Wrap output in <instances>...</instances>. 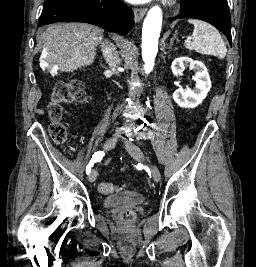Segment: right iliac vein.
<instances>
[{"label":"right iliac vein","mask_w":256,"mask_h":267,"mask_svg":"<svg viewBox=\"0 0 256 267\" xmlns=\"http://www.w3.org/2000/svg\"><path fill=\"white\" fill-rule=\"evenodd\" d=\"M116 142H117V135L114 134V135H112L111 137H109V138L106 140V142H105V144H104V147H103L104 150L107 151V150L112 149V148L115 146ZM96 178H97L96 171L93 170L92 172H90V174H89V176H88V180H89L90 182H94V181L96 180Z\"/></svg>","instance_id":"obj_1"}]
</instances>
